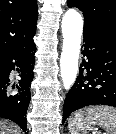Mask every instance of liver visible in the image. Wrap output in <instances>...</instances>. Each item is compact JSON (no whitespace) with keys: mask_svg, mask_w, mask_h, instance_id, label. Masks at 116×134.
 Returning a JSON list of instances; mask_svg holds the SVG:
<instances>
[{"mask_svg":"<svg viewBox=\"0 0 116 134\" xmlns=\"http://www.w3.org/2000/svg\"><path fill=\"white\" fill-rule=\"evenodd\" d=\"M20 130L5 121H0V134H19Z\"/></svg>","mask_w":116,"mask_h":134,"instance_id":"obj_1","label":"liver"}]
</instances>
